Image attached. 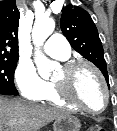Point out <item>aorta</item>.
I'll use <instances>...</instances> for the list:
<instances>
[{
	"label": "aorta",
	"instance_id": "762f6f07",
	"mask_svg": "<svg viewBox=\"0 0 117 131\" xmlns=\"http://www.w3.org/2000/svg\"><path fill=\"white\" fill-rule=\"evenodd\" d=\"M54 28L55 22L52 18L49 17L36 18L33 26L32 40L36 47L34 61L37 66L38 73L42 78H48L57 66L55 62L49 60L40 51V47L52 34Z\"/></svg>",
	"mask_w": 117,
	"mask_h": 131
}]
</instances>
